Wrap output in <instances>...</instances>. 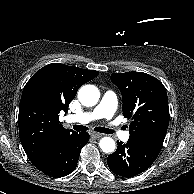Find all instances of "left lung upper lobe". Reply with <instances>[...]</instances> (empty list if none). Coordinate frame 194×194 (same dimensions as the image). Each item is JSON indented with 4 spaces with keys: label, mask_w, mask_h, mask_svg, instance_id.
<instances>
[{
    "label": "left lung upper lobe",
    "mask_w": 194,
    "mask_h": 194,
    "mask_svg": "<svg viewBox=\"0 0 194 194\" xmlns=\"http://www.w3.org/2000/svg\"><path fill=\"white\" fill-rule=\"evenodd\" d=\"M111 81L122 94L124 117L132 120L130 136L162 147L170 119L164 85L143 72L113 73Z\"/></svg>",
    "instance_id": "1"
}]
</instances>
